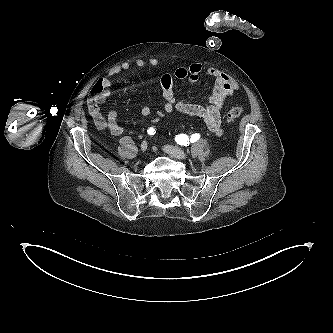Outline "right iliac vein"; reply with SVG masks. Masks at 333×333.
<instances>
[{
    "label": "right iliac vein",
    "mask_w": 333,
    "mask_h": 333,
    "mask_svg": "<svg viewBox=\"0 0 333 333\" xmlns=\"http://www.w3.org/2000/svg\"><path fill=\"white\" fill-rule=\"evenodd\" d=\"M147 147H148L147 142H146V141H143V142L141 143V146H140L141 151H143V152L146 151Z\"/></svg>",
    "instance_id": "obj_1"
}]
</instances>
